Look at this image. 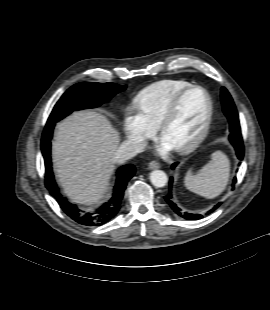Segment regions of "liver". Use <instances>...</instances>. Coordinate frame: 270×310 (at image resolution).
<instances>
[{
  "label": "liver",
  "instance_id": "6515ba94",
  "mask_svg": "<svg viewBox=\"0 0 270 310\" xmlns=\"http://www.w3.org/2000/svg\"><path fill=\"white\" fill-rule=\"evenodd\" d=\"M119 140L110 121L93 110L74 112L57 124L53 167L72 202L93 205L104 197Z\"/></svg>",
  "mask_w": 270,
  "mask_h": 310
}]
</instances>
